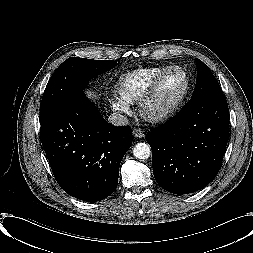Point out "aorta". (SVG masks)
I'll list each match as a JSON object with an SVG mask.
<instances>
[{
	"label": "aorta",
	"mask_w": 253,
	"mask_h": 253,
	"mask_svg": "<svg viewBox=\"0 0 253 253\" xmlns=\"http://www.w3.org/2000/svg\"><path fill=\"white\" fill-rule=\"evenodd\" d=\"M151 154V148L147 143L139 142L133 148V155L138 159H148Z\"/></svg>",
	"instance_id": "obj_1"
}]
</instances>
